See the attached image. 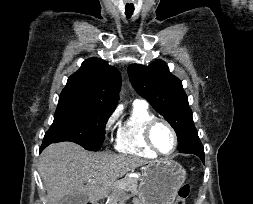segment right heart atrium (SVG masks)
Listing matches in <instances>:
<instances>
[{"mask_svg":"<svg viewBox=\"0 0 253 204\" xmlns=\"http://www.w3.org/2000/svg\"><path fill=\"white\" fill-rule=\"evenodd\" d=\"M118 118L117 111H113L106 119L104 124V131L108 137H111L118 130Z\"/></svg>","mask_w":253,"mask_h":204,"instance_id":"1","label":"right heart atrium"}]
</instances>
